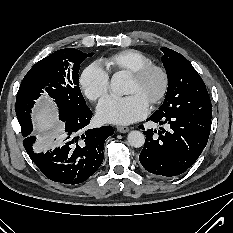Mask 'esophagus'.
<instances>
[{"label":"esophagus","instance_id":"1","mask_svg":"<svg viewBox=\"0 0 233 233\" xmlns=\"http://www.w3.org/2000/svg\"><path fill=\"white\" fill-rule=\"evenodd\" d=\"M116 129L119 133H126L129 131V128L125 126H117Z\"/></svg>","mask_w":233,"mask_h":233}]
</instances>
